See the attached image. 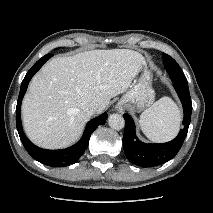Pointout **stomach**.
<instances>
[{
  "label": "stomach",
  "mask_w": 213,
  "mask_h": 213,
  "mask_svg": "<svg viewBox=\"0 0 213 213\" xmlns=\"http://www.w3.org/2000/svg\"><path fill=\"white\" fill-rule=\"evenodd\" d=\"M151 81L150 73L145 70L141 78L134 82L130 89L121 97L119 103L125 104L132 112H138L149 107L155 99Z\"/></svg>",
  "instance_id": "0dacf381"
}]
</instances>
